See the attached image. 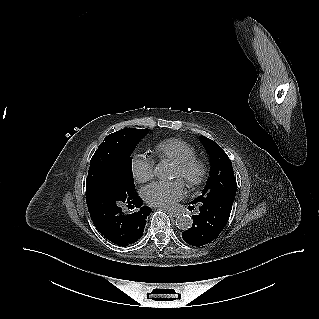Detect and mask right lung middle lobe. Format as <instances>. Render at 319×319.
Segmentation results:
<instances>
[{
  "label": "right lung middle lobe",
  "mask_w": 319,
  "mask_h": 319,
  "mask_svg": "<svg viewBox=\"0 0 319 319\" xmlns=\"http://www.w3.org/2000/svg\"><path fill=\"white\" fill-rule=\"evenodd\" d=\"M149 129L125 128L108 135L94 153L87 176L86 189L117 184L124 193L135 186L131 154Z\"/></svg>",
  "instance_id": "1"
}]
</instances>
